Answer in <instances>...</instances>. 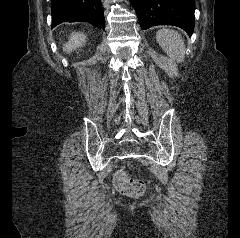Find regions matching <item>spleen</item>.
Masks as SVG:
<instances>
[{
    "mask_svg": "<svg viewBox=\"0 0 240 238\" xmlns=\"http://www.w3.org/2000/svg\"><path fill=\"white\" fill-rule=\"evenodd\" d=\"M156 40L169 57L178 62L183 61L185 45L177 31L161 29L156 33Z\"/></svg>",
    "mask_w": 240,
    "mask_h": 238,
    "instance_id": "obj_1",
    "label": "spleen"
}]
</instances>
